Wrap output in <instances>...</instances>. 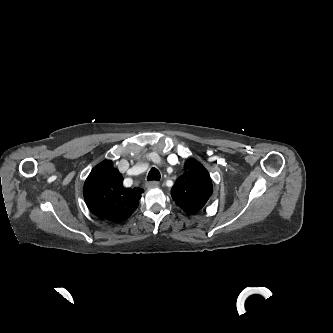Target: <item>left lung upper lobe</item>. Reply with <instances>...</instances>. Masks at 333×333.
<instances>
[{"label": "left lung upper lobe", "instance_id": "5c2ea615", "mask_svg": "<svg viewBox=\"0 0 333 333\" xmlns=\"http://www.w3.org/2000/svg\"><path fill=\"white\" fill-rule=\"evenodd\" d=\"M184 170L172 187L171 196L181 209L195 214L212 195L213 185L206 168L195 159H188Z\"/></svg>", "mask_w": 333, "mask_h": 333}]
</instances>
